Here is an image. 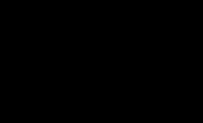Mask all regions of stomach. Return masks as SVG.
Returning <instances> with one entry per match:
<instances>
[{"label": "stomach", "mask_w": 203, "mask_h": 123, "mask_svg": "<svg viewBox=\"0 0 203 123\" xmlns=\"http://www.w3.org/2000/svg\"><path fill=\"white\" fill-rule=\"evenodd\" d=\"M117 25V21L113 20V21H110L108 22L104 27H103V30H110L112 29L113 27H115Z\"/></svg>", "instance_id": "0dacf381"}]
</instances>
